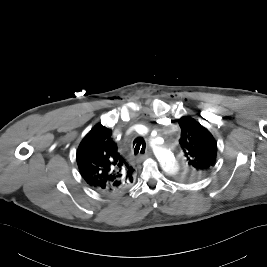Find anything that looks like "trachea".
<instances>
[{
  "mask_svg": "<svg viewBox=\"0 0 267 267\" xmlns=\"http://www.w3.org/2000/svg\"><path fill=\"white\" fill-rule=\"evenodd\" d=\"M145 148L146 144L145 141L142 137H138L134 140L133 142V150H134V155L138 154H144L145 153Z\"/></svg>",
  "mask_w": 267,
  "mask_h": 267,
  "instance_id": "obj_1",
  "label": "trachea"
}]
</instances>
